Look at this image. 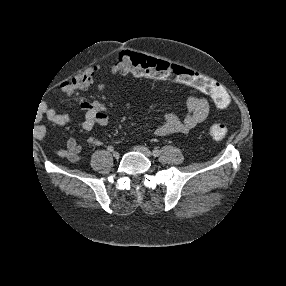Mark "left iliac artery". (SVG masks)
<instances>
[{"mask_svg":"<svg viewBox=\"0 0 286 286\" xmlns=\"http://www.w3.org/2000/svg\"><path fill=\"white\" fill-rule=\"evenodd\" d=\"M153 155H154L155 157L159 156V155H160V151L157 150V149L153 150Z\"/></svg>","mask_w":286,"mask_h":286,"instance_id":"44dca946","label":"left iliac artery"}]
</instances>
